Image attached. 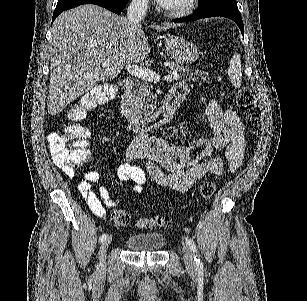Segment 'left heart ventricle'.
I'll list each match as a JSON object with an SVG mask.
<instances>
[{
    "label": "left heart ventricle",
    "instance_id": "left-heart-ventricle-1",
    "mask_svg": "<svg viewBox=\"0 0 307 301\" xmlns=\"http://www.w3.org/2000/svg\"><path fill=\"white\" fill-rule=\"evenodd\" d=\"M180 2H182V3H183V5H184L185 3H187V2H188V0H181ZM173 3H176V0H173Z\"/></svg>",
    "mask_w": 307,
    "mask_h": 301
}]
</instances>
